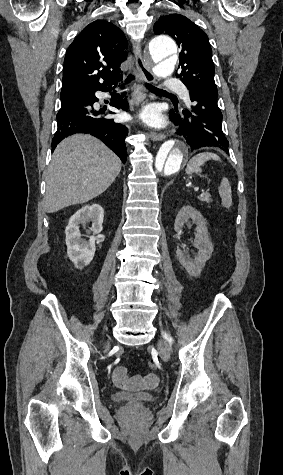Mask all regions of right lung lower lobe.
Listing matches in <instances>:
<instances>
[{"mask_svg": "<svg viewBox=\"0 0 283 475\" xmlns=\"http://www.w3.org/2000/svg\"><path fill=\"white\" fill-rule=\"evenodd\" d=\"M115 87L78 90L61 97V108L56 116L57 131L52 139V152L64 138L76 133H86L102 140L123 163L126 162L127 151L124 139L128 134V128L113 119L103 118L101 115L105 113V110L96 111L93 108V104L99 101L95 96L96 91L111 92ZM111 95L112 106L127 110L126 98L118 97L114 93ZM108 113L115 114L112 111Z\"/></svg>", "mask_w": 283, "mask_h": 475, "instance_id": "1", "label": "right lung lower lobe"}]
</instances>
